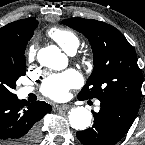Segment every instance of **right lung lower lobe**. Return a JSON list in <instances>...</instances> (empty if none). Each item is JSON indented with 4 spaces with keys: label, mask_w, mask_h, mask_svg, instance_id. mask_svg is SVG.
Returning a JSON list of instances; mask_svg holds the SVG:
<instances>
[{
    "label": "right lung lower lobe",
    "mask_w": 145,
    "mask_h": 145,
    "mask_svg": "<svg viewBox=\"0 0 145 145\" xmlns=\"http://www.w3.org/2000/svg\"><path fill=\"white\" fill-rule=\"evenodd\" d=\"M52 110L44 101L31 104L14 95H0V144L37 145L40 120Z\"/></svg>",
    "instance_id": "right-lung-lower-lobe-1"
}]
</instances>
